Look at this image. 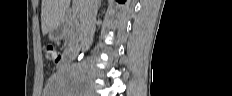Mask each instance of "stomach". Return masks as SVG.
<instances>
[{
    "label": "stomach",
    "mask_w": 232,
    "mask_h": 96,
    "mask_svg": "<svg viewBox=\"0 0 232 96\" xmlns=\"http://www.w3.org/2000/svg\"><path fill=\"white\" fill-rule=\"evenodd\" d=\"M49 37L52 40H57V39L61 38V33L59 31H53L50 33Z\"/></svg>",
    "instance_id": "obj_1"
}]
</instances>
